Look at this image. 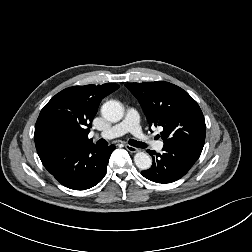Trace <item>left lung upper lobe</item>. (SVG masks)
<instances>
[{
  "instance_id": "1",
  "label": "left lung upper lobe",
  "mask_w": 252,
  "mask_h": 252,
  "mask_svg": "<svg viewBox=\"0 0 252 252\" xmlns=\"http://www.w3.org/2000/svg\"><path fill=\"white\" fill-rule=\"evenodd\" d=\"M150 125L163 127L164 146H188L202 151L206 135L203 113L182 88L165 81L129 83Z\"/></svg>"
}]
</instances>
